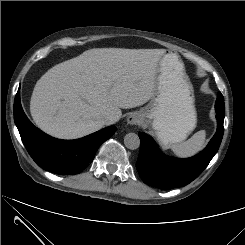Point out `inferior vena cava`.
<instances>
[{
  "mask_svg": "<svg viewBox=\"0 0 245 245\" xmlns=\"http://www.w3.org/2000/svg\"><path fill=\"white\" fill-rule=\"evenodd\" d=\"M120 119V116L116 115V114H107L104 117V121L106 124H113L115 122H117Z\"/></svg>",
  "mask_w": 245,
  "mask_h": 245,
  "instance_id": "1",
  "label": "inferior vena cava"
}]
</instances>
